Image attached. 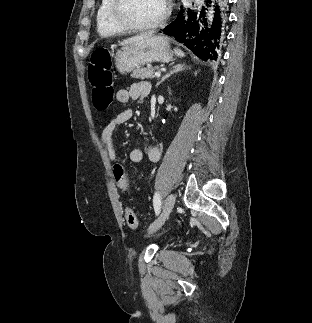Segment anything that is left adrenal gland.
<instances>
[{
	"instance_id": "a2214340",
	"label": "left adrenal gland",
	"mask_w": 312,
	"mask_h": 323,
	"mask_svg": "<svg viewBox=\"0 0 312 323\" xmlns=\"http://www.w3.org/2000/svg\"><path fill=\"white\" fill-rule=\"evenodd\" d=\"M182 70H185V64H176V66H172L171 72H169V74H165L163 78H160V82H157L156 86H160L162 82H165L167 78H170L171 74H176V72H182Z\"/></svg>"
}]
</instances>
